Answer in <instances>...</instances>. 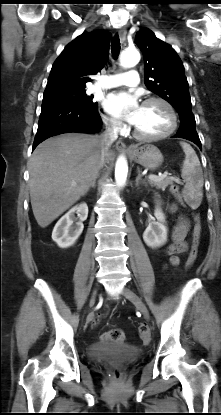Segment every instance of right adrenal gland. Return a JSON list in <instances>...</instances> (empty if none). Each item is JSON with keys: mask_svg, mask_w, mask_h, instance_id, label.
Here are the masks:
<instances>
[{"mask_svg": "<svg viewBox=\"0 0 221 415\" xmlns=\"http://www.w3.org/2000/svg\"><path fill=\"white\" fill-rule=\"evenodd\" d=\"M98 177H99V174H97V176L93 179L90 187L95 188L96 180L98 179Z\"/></svg>", "mask_w": 221, "mask_h": 415, "instance_id": "2a0ac1e0", "label": "right adrenal gland"}]
</instances>
